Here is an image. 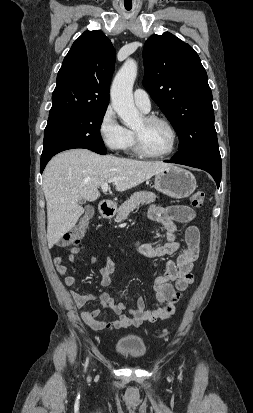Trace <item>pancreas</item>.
Wrapping results in <instances>:
<instances>
[{
    "mask_svg": "<svg viewBox=\"0 0 253 413\" xmlns=\"http://www.w3.org/2000/svg\"><path fill=\"white\" fill-rule=\"evenodd\" d=\"M156 195L152 192L141 191L135 192L126 202H124L117 210L115 221L120 223L127 219L128 215L136 209L140 204H150L155 202Z\"/></svg>",
    "mask_w": 253,
    "mask_h": 413,
    "instance_id": "cf45deb5",
    "label": "pancreas"
}]
</instances>
